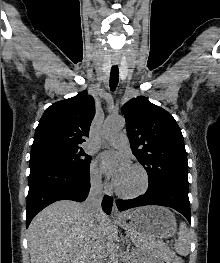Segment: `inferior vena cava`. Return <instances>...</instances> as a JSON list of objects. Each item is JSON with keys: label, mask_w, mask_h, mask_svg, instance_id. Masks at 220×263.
<instances>
[{"label": "inferior vena cava", "mask_w": 220, "mask_h": 263, "mask_svg": "<svg viewBox=\"0 0 220 263\" xmlns=\"http://www.w3.org/2000/svg\"><path fill=\"white\" fill-rule=\"evenodd\" d=\"M103 200V184L101 179L91 181L89 195L84 202L87 216L94 226L95 232L92 236L91 251L87 263H102L103 253L105 251L104 235L95 227V223L103 214L101 203Z\"/></svg>", "instance_id": "obj_1"}]
</instances>
